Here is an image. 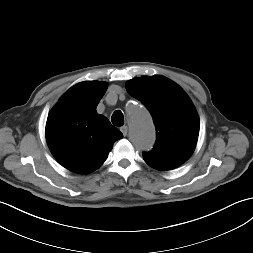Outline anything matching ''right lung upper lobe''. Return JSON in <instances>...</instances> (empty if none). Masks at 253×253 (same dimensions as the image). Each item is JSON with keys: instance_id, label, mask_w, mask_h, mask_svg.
Returning <instances> with one entry per match:
<instances>
[{"instance_id": "obj_1", "label": "right lung upper lobe", "mask_w": 253, "mask_h": 253, "mask_svg": "<svg viewBox=\"0 0 253 253\" xmlns=\"http://www.w3.org/2000/svg\"><path fill=\"white\" fill-rule=\"evenodd\" d=\"M107 83L84 81L71 87L50 111L46 123L48 146L65 168L87 174L99 168L122 133L97 114Z\"/></svg>"}]
</instances>
